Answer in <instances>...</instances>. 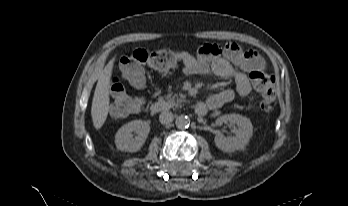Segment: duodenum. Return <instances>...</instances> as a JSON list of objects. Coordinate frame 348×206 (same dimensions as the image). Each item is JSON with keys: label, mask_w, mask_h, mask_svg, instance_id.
<instances>
[{"label": "duodenum", "mask_w": 348, "mask_h": 206, "mask_svg": "<svg viewBox=\"0 0 348 206\" xmlns=\"http://www.w3.org/2000/svg\"><path fill=\"white\" fill-rule=\"evenodd\" d=\"M170 108L169 104L165 101L158 100L155 101L151 104L150 106V111L153 114L161 113V112H166ZM210 110V103H199L195 106V112L199 116L205 115L208 111Z\"/></svg>", "instance_id": "410a0bca"}]
</instances>
